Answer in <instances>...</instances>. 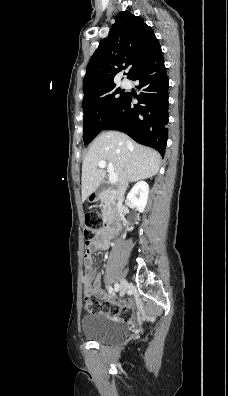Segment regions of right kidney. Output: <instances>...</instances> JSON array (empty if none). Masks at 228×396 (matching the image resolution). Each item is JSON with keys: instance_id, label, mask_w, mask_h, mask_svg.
<instances>
[{"instance_id": "ca27d5eb", "label": "right kidney", "mask_w": 228, "mask_h": 396, "mask_svg": "<svg viewBox=\"0 0 228 396\" xmlns=\"http://www.w3.org/2000/svg\"><path fill=\"white\" fill-rule=\"evenodd\" d=\"M149 195V186L145 181L137 182L127 195V202L139 212H144Z\"/></svg>"}]
</instances>
